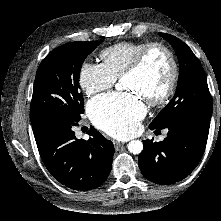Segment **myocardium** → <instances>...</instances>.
<instances>
[{
  "mask_svg": "<svg viewBox=\"0 0 221 221\" xmlns=\"http://www.w3.org/2000/svg\"><path fill=\"white\" fill-rule=\"evenodd\" d=\"M155 49L161 50L167 57L169 63V74L162 93L155 97L145 98V100L150 105H161L171 97L177 81V61L173 52L168 46L160 42H150L144 44L143 47L136 53L132 63L124 71L122 78L138 73L142 69L149 53Z\"/></svg>",
  "mask_w": 221,
  "mask_h": 221,
  "instance_id": "1",
  "label": "myocardium"
}]
</instances>
